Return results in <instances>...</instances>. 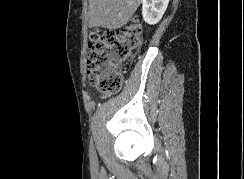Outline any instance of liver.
Listing matches in <instances>:
<instances>
[{
    "instance_id": "obj_1",
    "label": "liver",
    "mask_w": 244,
    "mask_h": 179,
    "mask_svg": "<svg viewBox=\"0 0 244 179\" xmlns=\"http://www.w3.org/2000/svg\"><path fill=\"white\" fill-rule=\"evenodd\" d=\"M142 0H89V24L117 30L129 22Z\"/></svg>"
}]
</instances>
